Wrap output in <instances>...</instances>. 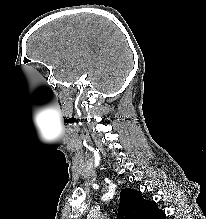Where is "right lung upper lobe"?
<instances>
[{
    "instance_id": "obj_1",
    "label": "right lung upper lobe",
    "mask_w": 206,
    "mask_h": 219,
    "mask_svg": "<svg viewBox=\"0 0 206 219\" xmlns=\"http://www.w3.org/2000/svg\"><path fill=\"white\" fill-rule=\"evenodd\" d=\"M120 195L117 219H166L155 202L142 198L140 191L125 188Z\"/></svg>"
}]
</instances>
